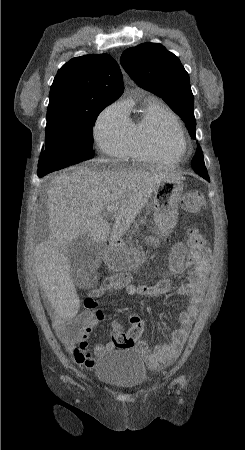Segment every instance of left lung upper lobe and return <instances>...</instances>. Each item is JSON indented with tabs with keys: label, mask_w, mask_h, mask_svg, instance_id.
Masks as SVG:
<instances>
[{
	"label": "left lung upper lobe",
	"mask_w": 245,
	"mask_h": 450,
	"mask_svg": "<svg viewBox=\"0 0 245 450\" xmlns=\"http://www.w3.org/2000/svg\"><path fill=\"white\" fill-rule=\"evenodd\" d=\"M120 63L141 88L164 98L184 121L191 138L196 139L194 97L189 75L178 57L161 44L144 43L125 50ZM191 165L197 174H207L201 148Z\"/></svg>",
	"instance_id": "left-lung-upper-lobe-1"
}]
</instances>
